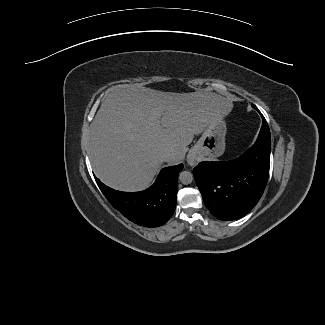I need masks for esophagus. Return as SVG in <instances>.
<instances>
[{"mask_svg":"<svg viewBox=\"0 0 325 325\" xmlns=\"http://www.w3.org/2000/svg\"><path fill=\"white\" fill-rule=\"evenodd\" d=\"M187 161H188V163H189L190 165L195 164V158H194V156L188 155V156H187Z\"/></svg>","mask_w":325,"mask_h":325,"instance_id":"34e87169","label":"esophagus"}]
</instances>
